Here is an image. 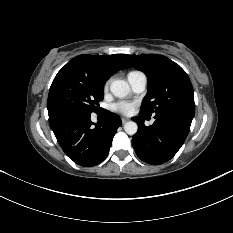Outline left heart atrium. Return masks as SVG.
Wrapping results in <instances>:
<instances>
[{"mask_svg": "<svg viewBox=\"0 0 233 233\" xmlns=\"http://www.w3.org/2000/svg\"><path fill=\"white\" fill-rule=\"evenodd\" d=\"M135 105L136 104L134 102L119 101V102L114 103L111 106V109L114 112L129 115L134 111Z\"/></svg>", "mask_w": 233, "mask_h": 233, "instance_id": "39dd6f15", "label": "left heart atrium"}]
</instances>
